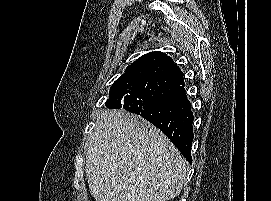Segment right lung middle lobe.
I'll return each mask as SVG.
<instances>
[{
	"label": "right lung middle lobe",
	"mask_w": 271,
	"mask_h": 201,
	"mask_svg": "<svg viewBox=\"0 0 271 201\" xmlns=\"http://www.w3.org/2000/svg\"><path fill=\"white\" fill-rule=\"evenodd\" d=\"M150 78L151 74L146 70L124 73L112 84L106 107L119 109L125 98L141 93Z\"/></svg>",
	"instance_id": "1"
}]
</instances>
